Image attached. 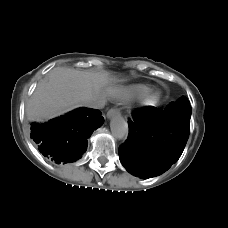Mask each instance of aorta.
I'll use <instances>...</instances> for the list:
<instances>
[{
	"label": "aorta",
	"mask_w": 228,
	"mask_h": 228,
	"mask_svg": "<svg viewBox=\"0 0 228 228\" xmlns=\"http://www.w3.org/2000/svg\"><path fill=\"white\" fill-rule=\"evenodd\" d=\"M110 128L113 136L117 139H123L128 136V124L119 114L112 118Z\"/></svg>",
	"instance_id": "1"
}]
</instances>
